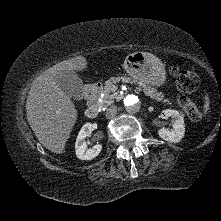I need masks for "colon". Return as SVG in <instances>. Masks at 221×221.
<instances>
[{"instance_id": "obj_1", "label": "colon", "mask_w": 221, "mask_h": 221, "mask_svg": "<svg viewBox=\"0 0 221 221\" xmlns=\"http://www.w3.org/2000/svg\"><path fill=\"white\" fill-rule=\"evenodd\" d=\"M170 74L175 78L176 86L179 91L178 104L194 121H199L203 118V112L195 105L190 98V94L197 90L200 86L198 75L188 69H184L179 65L170 67Z\"/></svg>"}]
</instances>
